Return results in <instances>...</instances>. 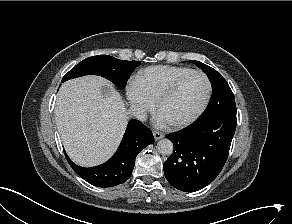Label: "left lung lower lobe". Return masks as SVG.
<instances>
[{
	"mask_svg": "<svg viewBox=\"0 0 292 224\" xmlns=\"http://www.w3.org/2000/svg\"><path fill=\"white\" fill-rule=\"evenodd\" d=\"M235 129L236 108H229L166 135L174 145V152L164 163L168 182L185 192L207 186L227 160Z\"/></svg>",
	"mask_w": 292,
	"mask_h": 224,
	"instance_id": "obj_1",
	"label": "left lung lower lobe"
}]
</instances>
